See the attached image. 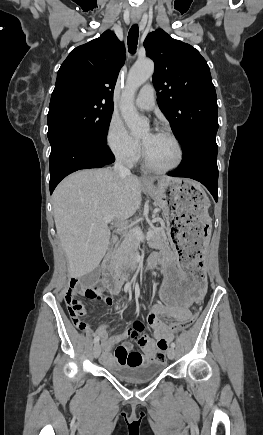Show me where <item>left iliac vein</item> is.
Here are the masks:
<instances>
[{"instance_id": "1", "label": "left iliac vein", "mask_w": 263, "mask_h": 435, "mask_svg": "<svg viewBox=\"0 0 263 435\" xmlns=\"http://www.w3.org/2000/svg\"><path fill=\"white\" fill-rule=\"evenodd\" d=\"M167 355H168V358H169V359H174L175 356H176V351H175V349L171 347V348L168 350Z\"/></svg>"}]
</instances>
